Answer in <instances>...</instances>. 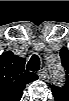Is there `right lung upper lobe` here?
I'll list each match as a JSON object with an SVG mask.
<instances>
[{"label": "right lung upper lobe", "mask_w": 69, "mask_h": 101, "mask_svg": "<svg viewBox=\"0 0 69 101\" xmlns=\"http://www.w3.org/2000/svg\"><path fill=\"white\" fill-rule=\"evenodd\" d=\"M25 59L5 52L0 59L1 93L12 100H20L25 85L38 79L32 72L25 71Z\"/></svg>", "instance_id": "cb5924a9"}]
</instances>
